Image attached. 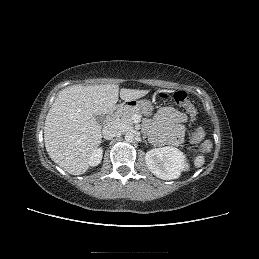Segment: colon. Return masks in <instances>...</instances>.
<instances>
[{"label": "colon", "mask_w": 259, "mask_h": 259, "mask_svg": "<svg viewBox=\"0 0 259 259\" xmlns=\"http://www.w3.org/2000/svg\"><path fill=\"white\" fill-rule=\"evenodd\" d=\"M161 98H168V95L165 93H159ZM173 101L182 106L190 115L188 117L189 122L192 125V137L190 138L191 144H199L200 152L207 154L212 149V142L209 139H203L204 131L202 128H199L198 117L196 116V109L194 105L190 102L187 95L183 91H177L172 95Z\"/></svg>", "instance_id": "5ec220e1"}]
</instances>
